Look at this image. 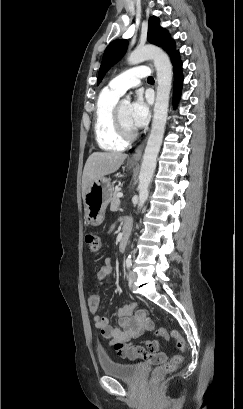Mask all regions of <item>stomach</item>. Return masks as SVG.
I'll return each mask as SVG.
<instances>
[{
  "label": "stomach",
  "instance_id": "0dacf381",
  "mask_svg": "<svg viewBox=\"0 0 243 409\" xmlns=\"http://www.w3.org/2000/svg\"><path fill=\"white\" fill-rule=\"evenodd\" d=\"M134 164H128L132 168ZM113 188L110 178L103 177L95 181L83 196L85 206V217L89 224L100 225L105 218V210L111 201Z\"/></svg>",
  "mask_w": 243,
  "mask_h": 409
}]
</instances>
